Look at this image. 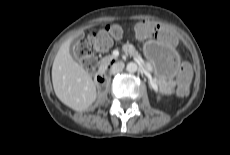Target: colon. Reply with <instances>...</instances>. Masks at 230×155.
<instances>
[{"label": "colon", "mask_w": 230, "mask_h": 155, "mask_svg": "<svg viewBox=\"0 0 230 155\" xmlns=\"http://www.w3.org/2000/svg\"><path fill=\"white\" fill-rule=\"evenodd\" d=\"M122 36L123 29L120 25H106L104 28L82 39L76 47V53L83 60L86 67L92 69L96 65V58L93 55V50L105 51L114 41L121 39ZM189 75V66L185 63H180L178 70L179 95H184L186 93Z\"/></svg>", "instance_id": "5ec220e1"}]
</instances>
